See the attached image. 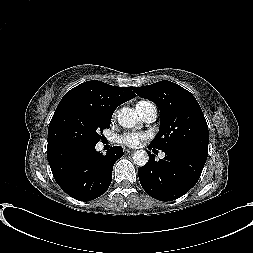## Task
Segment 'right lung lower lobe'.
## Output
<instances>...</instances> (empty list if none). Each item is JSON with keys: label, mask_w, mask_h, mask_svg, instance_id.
<instances>
[{"label": "right lung lower lobe", "mask_w": 253, "mask_h": 253, "mask_svg": "<svg viewBox=\"0 0 253 253\" xmlns=\"http://www.w3.org/2000/svg\"><path fill=\"white\" fill-rule=\"evenodd\" d=\"M123 156L120 146L111 147L106 155L95 145L72 144L47 150V158L58 185L79 201H91L104 194L112 180L117 159Z\"/></svg>", "instance_id": "98d812e1"}]
</instances>
